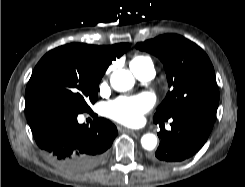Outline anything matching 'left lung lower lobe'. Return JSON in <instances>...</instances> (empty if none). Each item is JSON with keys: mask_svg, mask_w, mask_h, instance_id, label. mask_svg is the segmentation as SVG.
Instances as JSON below:
<instances>
[{"mask_svg": "<svg viewBox=\"0 0 245 187\" xmlns=\"http://www.w3.org/2000/svg\"><path fill=\"white\" fill-rule=\"evenodd\" d=\"M215 116V111H197L171 118V131L158 133L161 142L151 160L172 165L193 156L207 141ZM154 122L162 126L165 121Z\"/></svg>", "mask_w": 245, "mask_h": 187, "instance_id": "obj_1", "label": "left lung lower lobe"}]
</instances>
